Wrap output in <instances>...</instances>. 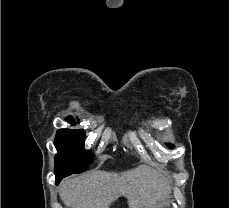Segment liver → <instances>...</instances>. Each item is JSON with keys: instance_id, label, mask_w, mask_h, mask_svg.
I'll list each match as a JSON object with an SVG mask.
<instances>
[{"instance_id": "liver-1", "label": "liver", "mask_w": 229, "mask_h": 208, "mask_svg": "<svg viewBox=\"0 0 229 208\" xmlns=\"http://www.w3.org/2000/svg\"><path fill=\"white\" fill-rule=\"evenodd\" d=\"M171 194L168 178L150 166H138L123 174L90 172L62 180L59 196L66 208H109L125 196L129 208H156Z\"/></svg>"}]
</instances>
